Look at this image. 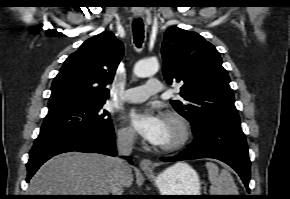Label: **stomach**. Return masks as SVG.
Here are the masks:
<instances>
[{"label":"stomach","mask_w":290,"mask_h":199,"mask_svg":"<svg viewBox=\"0 0 290 199\" xmlns=\"http://www.w3.org/2000/svg\"><path fill=\"white\" fill-rule=\"evenodd\" d=\"M146 175L155 181L162 195H200V178L186 163H177L157 176L151 172Z\"/></svg>","instance_id":"obj_1"}]
</instances>
